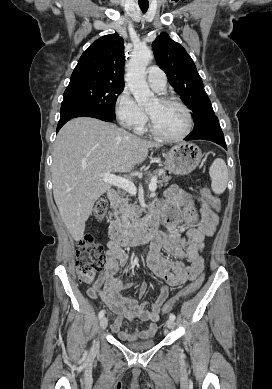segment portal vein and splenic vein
Listing matches in <instances>:
<instances>
[{
  "instance_id": "18ae733b",
  "label": "portal vein and splenic vein",
  "mask_w": 272,
  "mask_h": 389,
  "mask_svg": "<svg viewBox=\"0 0 272 389\" xmlns=\"http://www.w3.org/2000/svg\"><path fill=\"white\" fill-rule=\"evenodd\" d=\"M99 177L101 178L102 181L114 185L118 188H121L127 191L128 193H130L131 195H136L137 193L136 186L134 185L133 182H131L128 179L110 173L100 174ZM156 188H157V177L154 176L151 179V182L149 184V190L151 192H154Z\"/></svg>"
}]
</instances>
